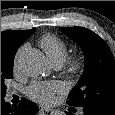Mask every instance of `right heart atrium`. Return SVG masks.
I'll return each instance as SVG.
<instances>
[{"mask_svg":"<svg viewBox=\"0 0 115 115\" xmlns=\"http://www.w3.org/2000/svg\"><path fill=\"white\" fill-rule=\"evenodd\" d=\"M27 48H28V45H27V44H24V45H22V46L18 49V51H17V53H16V55H15V58H14V63H13V67H14V70H15V71L18 70L20 57H21V55L23 54V52H24L25 50H27Z\"/></svg>","mask_w":115,"mask_h":115,"instance_id":"d8ad5b80","label":"right heart atrium"}]
</instances>
